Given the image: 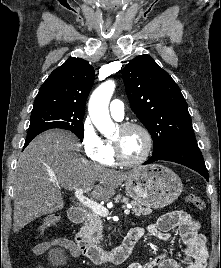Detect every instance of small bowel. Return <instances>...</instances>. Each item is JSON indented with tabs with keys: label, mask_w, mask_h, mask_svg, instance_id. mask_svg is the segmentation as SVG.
I'll list each match as a JSON object with an SVG mask.
<instances>
[{
	"label": "small bowel",
	"mask_w": 221,
	"mask_h": 268,
	"mask_svg": "<svg viewBox=\"0 0 221 268\" xmlns=\"http://www.w3.org/2000/svg\"><path fill=\"white\" fill-rule=\"evenodd\" d=\"M140 238L148 233L166 245L171 241V231L176 229L184 244V260L180 262L169 257L166 246L152 261L147 264L132 263L127 268H206L208 248L206 237L200 233V223L185 211L175 210L161 215L156 223L144 227L133 228ZM54 246L68 249L74 256L80 253L75 243L68 238H57L52 241L40 242L34 246L33 252L40 256ZM37 268H44L39 265Z\"/></svg>",
	"instance_id": "small-bowel-1"
}]
</instances>
